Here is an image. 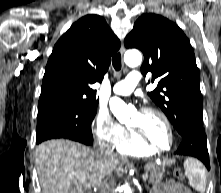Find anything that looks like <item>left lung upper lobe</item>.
Segmentation results:
<instances>
[{
    "mask_svg": "<svg viewBox=\"0 0 221 193\" xmlns=\"http://www.w3.org/2000/svg\"><path fill=\"white\" fill-rule=\"evenodd\" d=\"M127 48L144 54L141 72H152L158 86L148 95L163 110L182 136L203 124L200 74L192 46L173 22L156 14H143L125 38Z\"/></svg>",
    "mask_w": 221,
    "mask_h": 193,
    "instance_id": "obj_1",
    "label": "left lung upper lobe"
}]
</instances>
